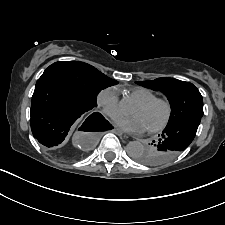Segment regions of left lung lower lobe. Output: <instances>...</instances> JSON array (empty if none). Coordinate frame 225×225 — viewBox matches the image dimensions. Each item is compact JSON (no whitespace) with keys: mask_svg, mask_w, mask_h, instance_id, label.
<instances>
[{"mask_svg":"<svg viewBox=\"0 0 225 225\" xmlns=\"http://www.w3.org/2000/svg\"><path fill=\"white\" fill-rule=\"evenodd\" d=\"M200 121L201 117H188L166 126L158 141H153L156 150L149 155L150 165L165 164L184 151L193 141Z\"/></svg>","mask_w":225,"mask_h":225,"instance_id":"0a47b994","label":"left lung lower lobe"}]
</instances>
